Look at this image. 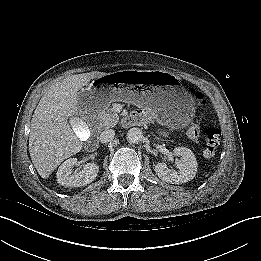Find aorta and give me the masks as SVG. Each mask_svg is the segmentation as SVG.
I'll list each match as a JSON object with an SVG mask.
<instances>
[{
	"mask_svg": "<svg viewBox=\"0 0 261 261\" xmlns=\"http://www.w3.org/2000/svg\"><path fill=\"white\" fill-rule=\"evenodd\" d=\"M143 139V133L139 128H131L127 132V141L129 143H139Z\"/></svg>",
	"mask_w": 261,
	"mask_h": 261,
	"instance_id": "1",
	"label": "aorta"
}]
</instances>
